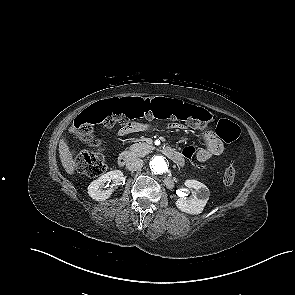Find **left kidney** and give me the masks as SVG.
Masks as SVG:
<instances>
[{
  "mask_svg": "<svg viewBox=\"0 0 295 295\" xmlns=\"http://www.w3.org/2000/svg\"><path fill=\"white\" fill-rule=\"evenodd\" d=\"M185 186L189 189H195L196 193L193 198L181 197L176 201V206L182 212L188 214H200L210 196L209 189L203 183L197 180H186Z\"/></svg>",
  "mask_w": 295,
  "mask_h": 295,
  "instance_id": "obj_1",
  "label": "left kidney"
}]
</instances>
